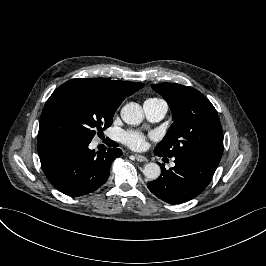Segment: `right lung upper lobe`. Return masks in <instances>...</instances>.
Wrapping results in <instances>:
<instances>
[{"label":"right lung upper lobe","instance_id":"obj_1","mask_svg":"<svg viewBox=\"0 0 266 266\" xmlns=\"http://www.w3.org/2000/svg\"><path fill=\"white\" fill-rule=\"evenodd\" d=\"M96 79V78H93ZM97 80L104 81L109 85L112 91L125 99L126 96L132 95L134 92L141 89L144 84L140 82H126V81H115L109 80L106 78H99ZM55 141L50 139L47 135L46 131V124L44 119H40V128H39V135H38V153L42 155L44 151L54 143Z\"/></svg>","mask_w":266,"mask_h":266}]
</instances>
